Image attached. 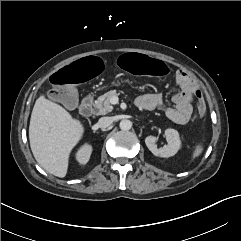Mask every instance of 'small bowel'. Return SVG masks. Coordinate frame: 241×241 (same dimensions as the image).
<instances>
[{"instance_id":"small-bowel-1","label":"small bowel","mask_w":241,"mask_h":241,"mask_svg":"<svg viewBox=\"0 0 241 241\" xmlns=\"http://www.w3.org/2000/svg\"><path fill=\"white\" fill-rule=\"evenodd\" d=\"M176 81L181 90L172 98L173 107L165 104L161 93H147L136 99V105L142 109L152 110L161 108L173 122L184 125L189 122L193 108L191 102L193 95H200L199 87L194 77L186 70L179 69L175 73Z\"/></svg>"}]
</instances>
